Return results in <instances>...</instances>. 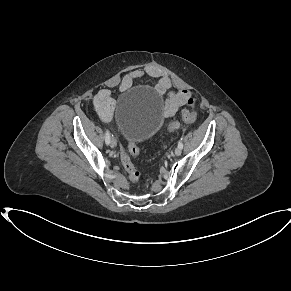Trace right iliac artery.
<instances>
[{
  "label": "right iliac artery",
  "instance_id": "1",
  "mask_svg": "<svg viewBox=\"0 0 291 291\" xmlns=\"http://www.w3.org/2000/svg\"><path fill=\"white\" fill-rule=\"evenodd\" d=\"M105 142H106V144L110 143V133L108 130L105 133Z\"/></svg>",
  "mask_w": 291,
  "mask_h": 291
}]
</instances>
